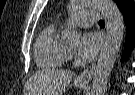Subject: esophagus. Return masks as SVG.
<instances>
[{
	"mask_svg": "<svg viewBox=\"0 0 135 95\" xmlns=\"http://www.w3.org/2000/svg\"><path fill=\"white\" fill-rule=\"evenodd\" d=\"M95 71V64L90 65L87 67L78 77L77 81L78 82H83V83H88L94 74Z\"/></svg>",
	"mask_w": 135,
	"mask_h": 95,
	"instance_id": "1",
	"label": "esophagus"
}]
</instances>
